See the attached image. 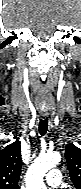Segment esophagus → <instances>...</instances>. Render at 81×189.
Wrapping results in <instances>:
<instances>
[{
	"label": "esophagus",
	"mask_w": 81,
	"mask_h": 189,
	"mask_svg": "<svg viewBox=\"0 0 81 189\" xmlns=\"http://www.w3.org/2000/svg\"><path fill=\"white\" fill-rule=\"evenodd\" d=\"M48 114L47 113H43L42 116L45 118Z\"/></svg>",
	"instance_id": "obj_1"
}]
</instances>
